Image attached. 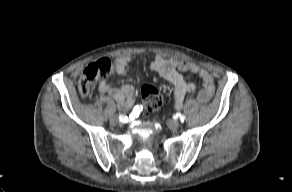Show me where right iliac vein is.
Wrapping results in <instances>:
<instances>
[{"instance_id":"right-iliac-vein-1","label":"right iliac vein","mask_w":292,"mask_h":192,"mask_svg":"<svg viewBox=\"0 0 292 192\" xmlns=\"http://www.w3.org/2000/svg\"><path fill=\"white\" fill-rule=\"evenodd\" d=\"M110 122L112 124H118V123H120V120L116 116H113L110 118Z\"/></svg>"}]
</instances>
